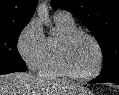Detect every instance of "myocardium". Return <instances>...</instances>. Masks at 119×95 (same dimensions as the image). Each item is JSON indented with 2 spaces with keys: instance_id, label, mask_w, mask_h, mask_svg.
Instances as JSON below:
<instances>
[{
  "instance_id": "obj_1",
  "label": "myocardium",
  "mask_w": 119,
  "mask_h": 95,
  "mask_svg": "<svg viewBox=\"0 0 119 95\" xmlns=\"http://www.w3.org/2000/svg\"><path fill=\"white\" fill-rule=\"evenodd\" d=\"M78 36H86L88 37L96 46L98 51V63L95 70L90 74H78L72 70L68 61V49L72 41ZM58 63L61 70L65 73V75L78 79V80H90L96 78L102 71L104 64V51L99 40L90 32L82 30V29H74L70 32L65 33L61 36L58 44Z\"/></svg>"
}]
</instances>
